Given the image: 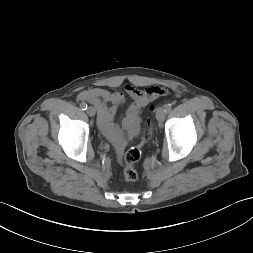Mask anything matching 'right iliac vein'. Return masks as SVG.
<instances>
[{
	"instance_id": "right-iliac-vein-1",
	"label": "right iliac vein",
	"mask_w": 253,
	"mask_h": 253,
	"mask_svg": "<svg viewBox=\"0 0 253 253\" xmlns=\"http://www.w3.org/2000/svg\"><path fill=\"white\" fill-rule=\"evenodd\" d=\"M87 114L89 115V116H94L95 115V113H96V111H95V109L93 108V107H88V109H87Z\"/></svg>"
}]
</instances>
